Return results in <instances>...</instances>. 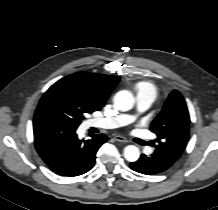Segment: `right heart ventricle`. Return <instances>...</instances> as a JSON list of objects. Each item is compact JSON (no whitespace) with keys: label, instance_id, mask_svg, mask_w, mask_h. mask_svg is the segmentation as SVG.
<instances>
[{"label":"right heart ventricle","instance_id":"e07e8e85","mask_svg":"<svg viewBox=\"0 0 218 210\" xmlns=\"http://www.w3.org/2000/svg\"><path fill=\"white\" fill-rule=\"evenodd\" d=\"M138 89L140 91L143 90V89H149V90H151L155 94L154 87L151 84H149V83H141V84H139Z\"/></svg>","mask_w":218,"mask_h":210}]
</instances>
